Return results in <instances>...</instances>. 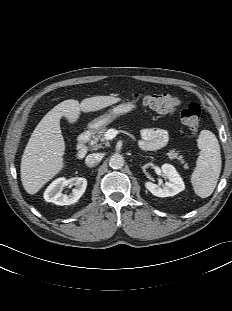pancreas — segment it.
<instances>
[{
    "instance_id": "pancreas-1",
    "label": "pancreas",
    "mask_w": 232,
    "mask_h": 311,
    "mask_svg": "<svg viewBox=\"0 0 232 311\" xmlns=\"http://www.w3.org/2000/svg\"><path fill=\"white\" fill-rule=\"evenodd\" d=\"M107 132L106 126L98 130L95 134L92 135V139L90 140V145L94 150H97L99 148H102V144L100 142L104 141V136ZM106 146L109 145L108 142L104 143ZM169 159H177L181 164L185 163V160L183 159L182 155H179L178 152L175 150H170L169 152L166 153Z\"/></svg>"
}]
</instances>
